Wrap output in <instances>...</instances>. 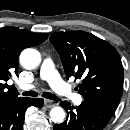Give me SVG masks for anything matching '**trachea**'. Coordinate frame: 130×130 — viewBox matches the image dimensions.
Listing matches in <instances>:
<instances>
[{"label":"trachea","instance_id":"obj_1","mask_svg":"<svg viewBox=\"0 0 130 130\" xmlns=\"http://www.w3.org/2000/svg\"><path fill=\"white\" fill-rule=\"evenodd\" d=\"M23 96H30V97H36L38 95V93L36 91H25L22 93ZM42 96L44 98L50 99V100H54V101H58L60 100L59 97H57L56 95L50 93V92H44L42 94Z\"/></svg>","mask_w":130,"mask_h":130}]
</instances>
